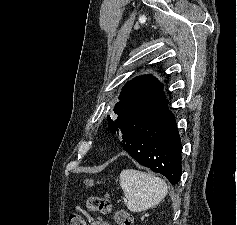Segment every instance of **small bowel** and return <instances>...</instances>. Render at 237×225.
<instances>
[{
    "instance_id": "small-bowel-1",
    "label": "small bowel",
    "mask_w": 237,
    "mask_h": 225,
    "mask_svg": "<svg viewBox=\"0 0 237 225\" xmlns=\"http://www.w3.org/2000/svg\"><path fill=\"white\" fill-rule=\"evenodd\" d=\"M90 225H111V224L101 219H94L91 221Z\"/></svg>"
}]
</instances>
